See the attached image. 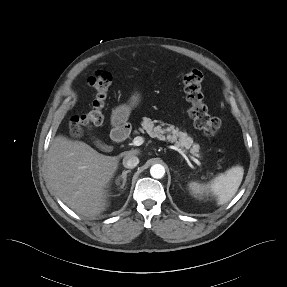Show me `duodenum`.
Here are the masks:
<instances>
[{
    "mask_svg": "<svg viewBox=\"0 0 287 287\" xmlns=\"http://www.w3.org/2000/svg\"><path fill=\"white\" fill-rule=\"evenodd\" d=\"M130 132V125L127 121L121 122L114 126L111 133V139L116 143H121L128 138Z\"/></svg>",
    "mask_w": 287,
    "mask_h": 287,
    "instance_id": "410a0bca",
    "label": "duodenum"
}]
</instances>
